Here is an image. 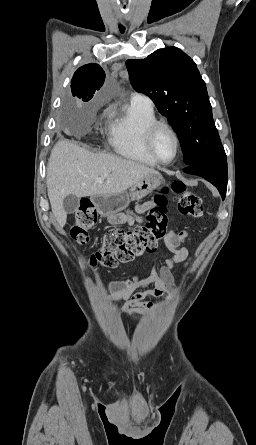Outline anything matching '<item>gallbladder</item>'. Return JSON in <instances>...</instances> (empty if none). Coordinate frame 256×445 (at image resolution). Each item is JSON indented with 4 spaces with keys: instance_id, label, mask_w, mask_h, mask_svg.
I'll return each instance as SVG.
<instances>
[{
    "instance_id": "gallbladder-1",
    "label": "gallbladder",
    "mask_w": 256,
    "mask_h": 445,
    "mask_svg": "<svg viewBox=\"0 0 256 445\" xmlns=\"http://www.w3.org/2000/svg\"><path fill=\"white\" fill-rule=\"evenodd\" d=\"M80 203V198L76 195L70 194L63 200V208L67 214H72L77 211Z\"/></svg>"
}]
</instances>
